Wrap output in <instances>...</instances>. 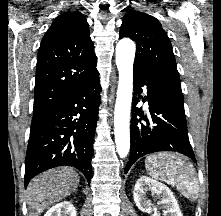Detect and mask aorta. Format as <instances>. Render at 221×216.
I'll return each instance as SVG.
<instances>
[{
  "mask_svg": "<svg viewBox=\"0 0 221 216\" xmlns=\"http://www.w3.org/2000/svg\"><path fill=\"white\" fill-rule=\"evenodd\" d=\"M135 51V43L129 38L121 39L116 46L119 83L114 112V134L116 149L121 158H125L130 150V110Z\"/></svg>",
  "mask_w": 221,
  "mask_h": 216,
  "instance_id": "1",
  "label": "aorta"
}]
</instances>
